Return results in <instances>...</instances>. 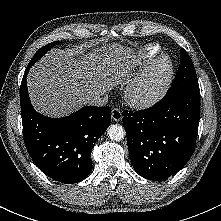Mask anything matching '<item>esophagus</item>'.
<instances>
[{"mask_svg": "<svg viewBox=\"0 0 221 221\" xmlns=\"http://www.w3.org/2000/svg\"><path fill=\"white\" fill-rule=\"evenodd\" d=\"M111 117L114 121L118 122V121H121L122 118H123V115H122V112L120 109L118 108H113L111 110Z\"/></svg>", "mask_w": 221, "mask_h": 221, "instance_id": "obj_1", "label": "esophagus"}]
</instances>
